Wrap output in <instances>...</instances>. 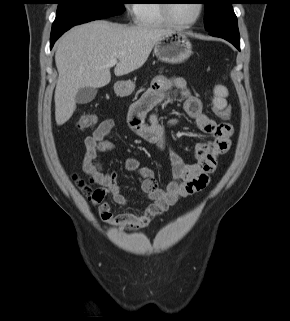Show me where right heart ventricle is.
Returning a JSON list of instances; mask_svg holds the SVG:
<instances>
[{
  "label": "right heart ventricle",
  "mask_w": 290,
  "mask_h": 321,
  "mask_svg": "<svg viewBox=\"0 0 290 321\" xmlns=\"http://www.w3.org/2000/svg\"><path fill=\"white\" fill-rule=\"evenodd\" d=\"M161 0H139L133 10L140 25L161 26L169 24L161 10Z\"/></svg>",
  "instance_id": "1"
}]
</instances>
